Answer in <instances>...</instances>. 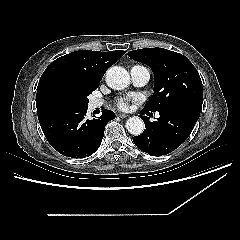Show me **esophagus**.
I'll use <instances>...</instances> for the list:
<instances>
[{"mask_svg":"<svg viewBox=\"0 0 240 240\" xmlns=\"http://www.w3.org/2000/svg\"><path fill=\"white\" fill-rule=\"evenodd\" d=\"M118 117L127 118V117H129V115L120 113V114H118Z\"/></svg>","mask_w":240,"mask_h":240,"instance_id":"obj_1","label":"esophagus"}]
</instances>
